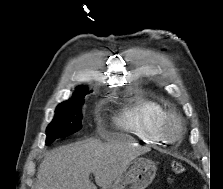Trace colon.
Returning a JSON list of instances; mask_svg holds the SVG:
<instances>
[{"mask_svg": "<svg viewBox=\"0 0 223 189\" xmlns=\"http://www.w3.org/2000/svg\"><path fill=\"white\" fill-rule=\"evenodd\" d=\"M171 169L175 175H182L186 172L185 165L180 161H173L171 164Z\"/></svg>", "mask_w": 223, "mask_h": 189, "instance_id": "1", "label": "colon"}]
</instances>
